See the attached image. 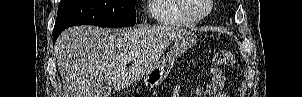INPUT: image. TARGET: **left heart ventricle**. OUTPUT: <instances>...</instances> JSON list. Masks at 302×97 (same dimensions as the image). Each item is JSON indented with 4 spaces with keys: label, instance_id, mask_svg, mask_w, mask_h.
I'll return each instance as SVG.
<instances>
[{
    "label": "left heart ventricle",
    "instance_id": "left-heart-ventricle-1",
    "mask_svg": "<svg viewBox=\"0 0 302 97\" xmlns=\"http://www.w3.org/2000/svg\"><path fill=\"white\" fill-rule=\"evenodd\" d=\"M189 9L197 15L204 14L207 11L206 0H186Z\"/></svg>",
    "mask_w": 302,
    "mask_h": 97
}]
</instances>
